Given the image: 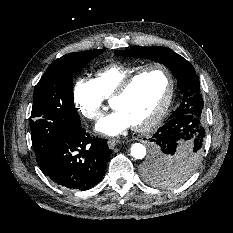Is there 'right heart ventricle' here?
Returning <instances> with one entry per match:
<instances>
[{
    "label": "right heart ventricle",
    "instance_id": "obj_1",
    "mask_svg": "<svg viewBox=\"0 0 233 233\" xmlns=\"http://www.w3.org/2000/svg\"><path fill=\"white\" fill-rule=\"evenodd\" d=\"M143 65L111 64L95 72L93 79L104 99H110L121 83Z\"/></svg>",
    "mask_w": 233,
    "mask_h": 233
}]
</instances>
